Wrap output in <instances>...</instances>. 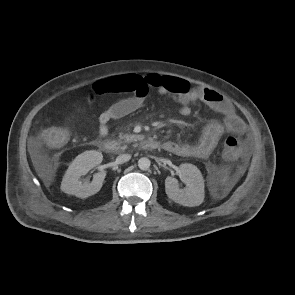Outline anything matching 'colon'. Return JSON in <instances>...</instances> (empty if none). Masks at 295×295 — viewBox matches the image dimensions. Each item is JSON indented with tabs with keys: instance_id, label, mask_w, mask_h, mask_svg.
Wrapping results in <instances>:
<instances>
[{
	"instance_id": "colon-1",
	"label": "colon",
	"mask_w": 295,
	"mask_h": 295,
	"mask_svg": "<svg viewBox=\"0 0 295 295\" xmlns=\"http://www.w3.org/2000/svg\"><path fill=\"white\" fill-rule=\"evenodd\" d=\"M89 99L92 100V95L89 96ZM42 138L48 146L58 148L67 142L68 136L62 129L48 128L42 133ZM224 156L230 160H238L240 167H244L247 162L248 152L239 138L231 136L225 140Z\"/></svg>"
}]
</instances>
